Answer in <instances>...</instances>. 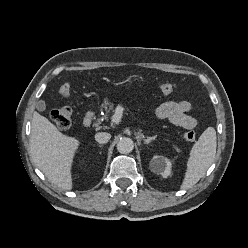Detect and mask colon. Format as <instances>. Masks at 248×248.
I'll use <instances>...</instances> for the list:
<instances>
[{"instance_id":"colon-1","label":"colon","mask_w":248,"mask_h":248,"mask_svg":"<svg viewBox=\"0 0 248 248\" xmlns=\"http://www.w3.org/2000/svg\"><path fill=\"white\" fill-rule=\"evenodd\" d=\"M177 86L174 83L165 82L160 85V91L164 95H170L176 90ZM71 89L69 84H63L59 88V93L62 97H68ZM51 120L54 125L61 130H66L72 123V109L70 106H63L51 112ZM184 138L187 141L193 142L196 139V132L192 129L184 133Z\"/></svg>"}]
</instances>
